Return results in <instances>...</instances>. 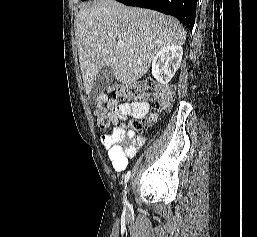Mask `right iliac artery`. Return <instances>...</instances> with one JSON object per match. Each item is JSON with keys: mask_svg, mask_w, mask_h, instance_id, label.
Masks as SVG:
<instances>
[{"mask_svg": "<svg viewBox=\"0 0 257 237\" xmlns=\"http://www.w3.org/2000/svg\"><path fill=\"white\" fill-rule=\"evenodd\" d=\"M130 175H131V172L128 171L124 177V184H125L124 204H126V205L128 204L127 197L125 196L126 195V187H127V182L130 178Z\"/></svg>", "mask_w": 257, "mask_h": 237, "instance_id": "1", "label": "right iliac artery"}]
</instances>
